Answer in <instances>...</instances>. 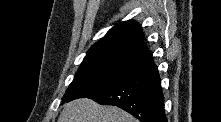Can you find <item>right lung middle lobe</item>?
Wrapping results in <instances>:
<instances>
[{"label": "right lung middle lobe", "mask_w": 221, "mask_h": 122, "mask_svg": "<svg viewBox=\"0 0 221 122\" xmlns=\"http://www.w3.org/2000/svg\"><path fill=\"white\" fill-rule=\"evenodd\" d=\"M138 61L125 58H100L83 62L62 102L87 97L108 88L123 78Z\"/></svg>", "instance_id": "right-lung-middle-lobe-1"}]
</instances>
